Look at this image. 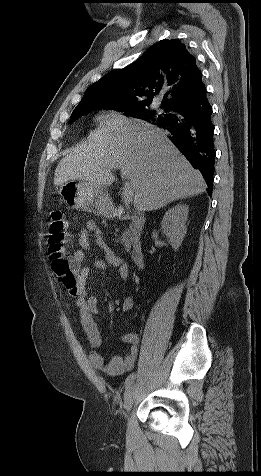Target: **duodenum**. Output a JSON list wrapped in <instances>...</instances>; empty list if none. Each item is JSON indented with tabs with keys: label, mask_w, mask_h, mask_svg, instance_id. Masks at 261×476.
Here are the masks:
<instances>
[{
	"label": "duodenum",
	"mask_w": 261,
	"mask_h": 476,
	"mask_svg": "<svg viewBox=\"0 0 261 476\" xmlns=\"http://www.w3.org/2000/svg\"><path fill=\"white\" fill-rule=\"evenodd\" d=\"M114 216L121 220H131L137 228H141L144 224L143 217L138 213H133L124 208H118ZM131 259L134 265L141 269L145 264V255L141 244L137 243L131 250Z\"/></svg>",
	"instance_id": "obj_1"
}]
</instances>
